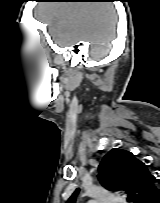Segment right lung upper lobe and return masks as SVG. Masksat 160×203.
<instances>
[{"label": "right lung upper lobe", "mask_w": 160, "mask_h": 203, "mask_svg": "<svg viewBox=\"0 0 160 203\" xmlns=\"http://www.w3.org/2000/svg\"><path fill=\"white\" fill-rule=\"evenodd\" d=\"M98 179L111 191H124L133 203H145L156 194L159 180L149 171V166L139 161L133 153L114 148L102 159ZM77 189L67 203H75Z\"/></svg>", "instance_id": "right-lung-upper-lobe-1"}]
</instances>
